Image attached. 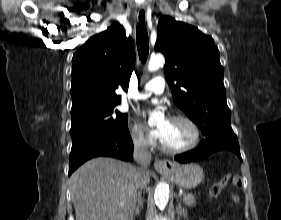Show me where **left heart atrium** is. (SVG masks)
I'll list each match as a JSON object with an SVG mask.
<instances>
[{
	"label": "left heart atrium",
	"instance_id": "39dd6f15",
	"mask_svg": "<svg viewBox=\"0 0 281 220\" xmlns=\"http://www.w3.org/2000/svg\"><path fill=\"white\" fill-rule=\"evenodd\" d=\"M152 135L159 138V139H162L163 138V135H164V129L163 128H158L156 130H153L152 131Z\"/></svg>",
	"mask_w": 281,
	"mask_h": 220
}]
</instances>
